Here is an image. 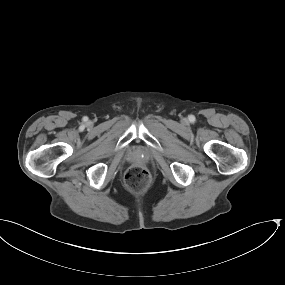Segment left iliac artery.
Segmentation results:
<instances>
[{"mask_svg": "<svg viewBox=\"0 0 285 285\" xmlns=\"http://www.w3.org/2000/svg\"><path fill=\"white\" fill-rule=\"evenodd\" d=\"M190 121H195V117H191V118H190Z\"/></svg>", "mask_w": 285, "mask_h": 285, "instance_id": "left-iliac-artery-1", "label": "left iliac artery"}]
</instances>
